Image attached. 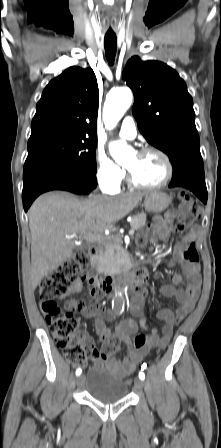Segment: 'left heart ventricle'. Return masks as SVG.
<instances>
[{"mask_svg":"<svg viewBox=\"0 0 221 448\" xmlns=\"http://www.w3.org/2000/svg\"><path fill=\"white\" fill-rule=\"evenodd\" d=\"M126 168L142 184L156 185L167 175V167L163 159L156 154L139 156L136 154Z\"/></svg>","mask_w":221,"mask_h":448,"instance_id":"1","label":"left heart ventricle"}]
</instances>
